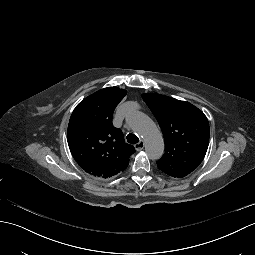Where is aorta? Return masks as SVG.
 I'll list each match as a JSON object with an SVG mask.
<instances>
[{
    "mask_svg": "<svg viewBox=\"0 0 255 255\" xmlns=\"http://www.w3.org/2000/svg\"><path fill=\"white\" fill-rule=\"evenodd\" d=\"M127 122L136 133L143 137L148 157L159 159L164 153V142L155 123L139 111L131 112L128 115Z\"/></svg>",
    "mask_w": 255,
    "mask_h": 255,
    "instance_id": "obj_1",
    "label": "aorta"
}]
</instances>
